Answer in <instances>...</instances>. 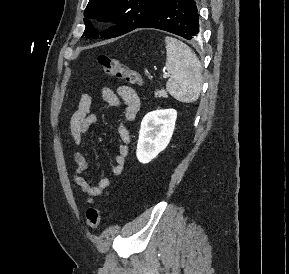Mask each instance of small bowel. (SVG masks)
<instances>
[{"instance_id":"1","label":"small bowel","mask_w":289,"mask_h":274,"mask_svg":"<svg viewBox=\"0 0 289 274\" xmlns=\"http://www.w3.org/2000/svg\"><path fill=\"white\" fill-rule=\"evenodd\" d=\"M101 97L113 107H123L124 119L118 127V136L121 143L117 154L114 156V165L110 168V174L121 176L124 173L125 160L129 152L130 132L127 123L133 121L137 116L140 111L141 101L137 92L127 85L118 86L116 91L109 87H103L101 89ZM91 105V95L87 92L83 93L76 111L71 116L70 132L77 146L84 145L87 132L98 123V117L90 112ZM73 159L76 164L73 177L76 187L79 192L86 196L85 202L87 204H94L95 198L103 195L112 186V182L108 178H102L96 184L90 183L83 175L88 168L86 156L80 151H75Z\"/></svg>"}]
</instances>
